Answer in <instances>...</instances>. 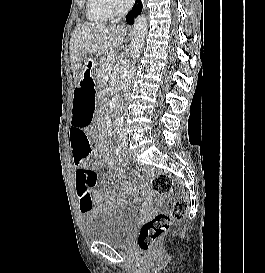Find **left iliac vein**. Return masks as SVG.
Listing matches in <instances>:
<instances>
[{"label":"left iliac vein","mask_w":265,"mask_h":273,"mask_svg":"<svg viewBox=\"0 0 265 273\" xmlns=\"http://www.w3.org/2000/svg\"><path fill=\"white\" fill-rule=\"evenodd\" d=\"M120 138H121L122 146H127L128 145V137L126 135V130L125 129L121 130Z\"/></svg>","instance_id":"1"}]
</instances>
